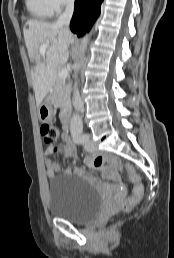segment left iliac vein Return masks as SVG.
Here are the masks:
<instances>
[{"label":"left iliac vein","mask_w":174,"mask_h":258,"mask_svg":"<svg viewBox=\"0 0 174 258\" xmlns=\"http://www.w3.org/2000/svg\"><path fill=\"white\" fill-rule=\"evenodd\" d=\"M85 149L87 151H93L95 149L94 143L90 140L89 135H86Z\"/></svg>","instance_id":"1"}]
</instances>
